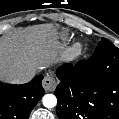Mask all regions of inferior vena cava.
<instances>
[{
  "instance_id": "inferior-vena-cava-1",
  "label": "inferior vena cava",
  "mask_w": 119,
  "mask_h": 119,
  "mask_svg": "<svg viewBox=\"0 0 119 119\" xmlns=\"http://www.w3.org/2000/svg\"><path fill=\"white\" fill-rule=\"evenodd\" d=\"M34 75H35V73H33V72L21 73V74L14 76L13 78H11L9 82L13 83V84H24V83H27L30 80H32Z\"/></svg>"
}]
</instances>
